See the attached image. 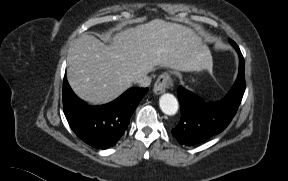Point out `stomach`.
I'll return each mask as SVG.
<instances>
[{
	"label": "stomach",
	"instance_id": "stomach-1",
	"mask_svg": "<svg viewBox=\"0 0 288 181\" xmlns=\"http://www.w3.org/2000/svg\"><path fill=\"white\" fill-rule=\"evenodd\" d=\"M213 61L210 50L205 45H200L195 52V66L193 71L196 74L212 69Z\"/></svg>",
	"mask_w": 288,
	"mask_h": 181
}]
</instances>
